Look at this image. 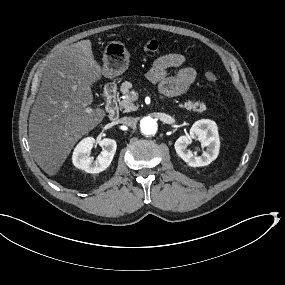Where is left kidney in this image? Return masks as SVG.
Instances as JSON below:
<instances>
[{"label": "left kidney", "mask_w": 285, "mask_h": 285, "mask_svg": "<svg viewBox=\"0 0 285 285\" xmlns=\"http://www.w3.org/2000/svg\"><path fill=\"white\" fill-rule=\"evenodd\" d=\"M199 140L206 149L201 155L193 156L187 145ZM176 153L191 167H202L214 161L219 153L220 142L215 122L199 120L193 124L188 135L180 136L175 142Z\"/></svg>", "instance_id": "left-kidney-1"}]
</instances>
